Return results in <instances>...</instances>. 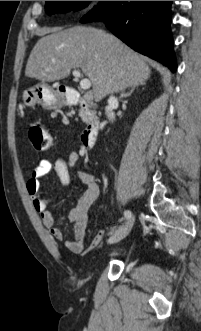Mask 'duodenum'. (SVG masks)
<instances>
[{"instance_id": "410a0bca", "label": "duodenum", "mask_w": 201, "mask_h": 331, "mask_svg": "<svg viewBox=\"0 0 201 331\" xmlns=\"http://www.w3.org/2000/svg\"><path fill=\"white\" fill-rule=\"evenodd\" d=\"M59 96L68 104L77 105L83 112L89 111V101L82 97L75 89L68 87H60L58 89ZM98 136V123L95 120H90L81 135V144L87 149L94 148Z\"/></svg>"}]
</instances>
